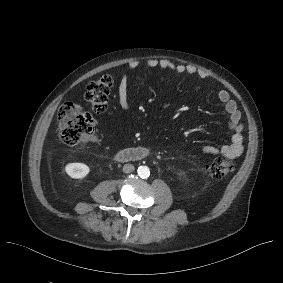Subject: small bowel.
Wrapping results in <instances>:
<instances>
[{"label": "small bowel", "instance_id": "c3829d8e", "mask_svg": "<svg viewBox=\"0 0 283 283\" xmlns=\"http://www.w3.org/2000/svg\"><path fill=\"white\" fill-rule=\"evenodd\" d=\"M148 68H161L164 70L173 71L177 74H188L192 76H198L203 80H209L208 73L199 71L193 66H185L182 64H175L167 59H147L143 63ZM141 66V62L132 61L126 69L121 73L117 94L118 102L122 109L127 110L129 108L128 100V82L129 75L132 71ZM218 100L224 106L227 114L229 115V127L233 131L231 143L222 145L220 147L204 146L202 152L212 155H222L229 159H235L239 157L244 150L243 144V124L241 118V112L236 102L231 98L230 94L226 90H220L217 94Z\"/></svg>", "mask_w": 283, "mask_h": 283}]
</instances>
